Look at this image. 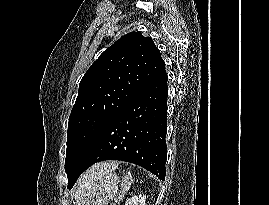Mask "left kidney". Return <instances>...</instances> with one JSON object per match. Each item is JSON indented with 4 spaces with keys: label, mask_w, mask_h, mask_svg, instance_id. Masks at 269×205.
I'll return each mask as SVG.
<instances>
[{
    "label": "left kidney",
    "mask_w": 269,
    "mask_h": 205,
    "mask_svg": "<svg viewBox=\"0 0 269 205\" xmlns=\"http://www.w3.org/2000/svg\"><path fill=\"white\" fill-rule=\"evenodd\" d=\"M125 205H146V196H133L126 201Z\"/></svg>",
    "instance_id": "5707ae66"
}]
</instances>
